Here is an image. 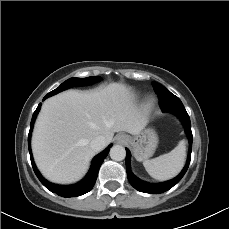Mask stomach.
I'll return each mask as SVG.
<instances>
[{
    "label": "stomach",
    "instance_id": "0dacf381",
    "mask_svg": "<svg viewBox=\"0 0 229 229\" xmlns=\"http://www.w3.org/2000/svg\"><path fill=\"white\" fill-rule=\"evenodd\" d=\"M128 144L133 150L137 161H143L151 157L158 145V136L153 129H145L138 135L128 138Z\"/></svg>",
    "mask_w": 229,
    "mask_h": 229
}]
</instances>
